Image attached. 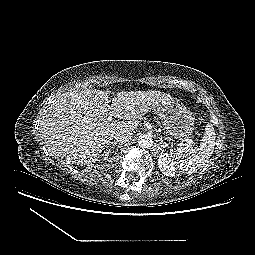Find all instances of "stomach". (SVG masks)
I'll use <instances>...</instances> for the list:
<instances>
[{"label":"stomach","instance_id":"0dacf381","mask_svg":"<svg viewBox=\"0 0 255 255\" xmlns=\"http://www.w3.org/2000/svg\"><path fill=\"white\" fill-rule=\"evenodd\" d=\"M155 111L166 131L174 138L186 139L192 135L194 116L174 99L165 102Z\"/></svg>","mask_w":255,"mask_h":255}]
</instances>
